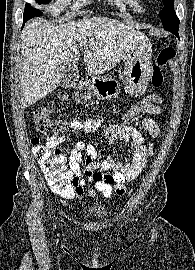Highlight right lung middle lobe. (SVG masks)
I'll list each match as a JSON object with an SVG mask.
<instances>
[{"label": "right lung middle lobe", "mask_w": 195, "mask_h": 270, "mask_svg": "<svg viewBox=\"0 0 195 270\" xmlns=\"http://www.w3.org/2000/svg\"><path fill=\"white\" fill-rule=\"evenodd\" d=\"M51 0H37L39 4H46L49 3ZM24 13H33L36 14V16L42 15V12L40 10L32 8L29 4L25 5Z\"/></svg>", "instance_id": "obj_1"}]
</instances>
